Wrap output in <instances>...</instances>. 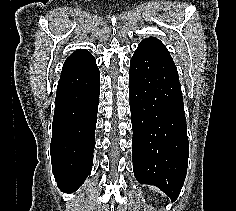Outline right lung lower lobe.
Segmentation results:
<instances>
[{
	"label": "right lung lower lobe",
	"mask_w": 236,
	"mask_h": 211,
	"mask_svg": "<svg viewBox=\"0 0 236 211\" xmlns=\"http://www.w3.org/2000/svg\"><path fill=\"white\" fill-rule=\"evenodd\" d=\"M100 72L60 78L50 145L52 170L63 192H74L90 174L100 93Z\"/></svg>",
	"instance_id": "obj_1"
}]
</instances>
